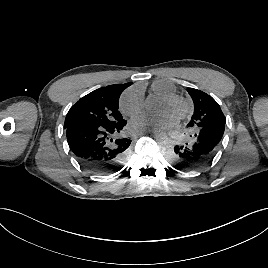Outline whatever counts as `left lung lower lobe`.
Listing matches in <instances>:
<instances>
[{"mask_svg": "<svg viewBox=\"0 0 268 268\" xmlns=\"http://www.w3.org/2000/svg\"><path fill=\"white\" fill-rule=\"evenodd\" d=\"M225 124L209 125L193 131L186 144H179L168 153L177 169L194 170L209 163L216 155L224 134Z\"/></svg>", "mask_w": 268, "mask_h": 268, "instance_id": "left-lung-lower-lobe-1", "label": "left lung lower lobe"}]
</instances>
